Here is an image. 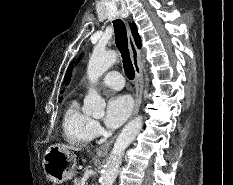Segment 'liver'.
<instances>
[{"mask_svg":"<svg viewBox=\"0 0 233 185\" xmlns=\"http://www.w3.org/2000/svg\"><path fill=\"white\" fill-rule=\"evenodd\" d=\"M56 146L60 147L61 149L64 150H74V151H79L80 148H75L73 146H68V145H64V144H56Z\"/></svg>","mask_w":233,"mask_h":185,"instance_id":"liver-1","label":"liver"}]
</instances>
